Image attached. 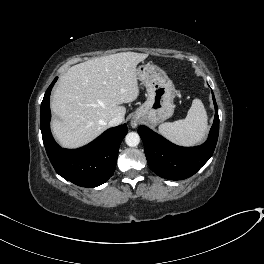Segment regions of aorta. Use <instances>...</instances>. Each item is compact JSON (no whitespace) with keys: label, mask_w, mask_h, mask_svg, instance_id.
Returning <instances> with one entry per match:
<instances>
[{"label":"aorta","mask_w":264,"mask_h":264,"mask_svg":"<svg viewBox=\"0 0 264 264\" xmlns=\"http://www.w3.org/2000/svg\"><path fill=\"white\" fill-rule=\"evenodd\" d=\"M125 142L130 147H135L140 143V136L136 132H129L125 137Z\"/></svg>","instance_id":"762f6f07"}]
</instances>
